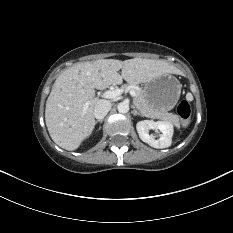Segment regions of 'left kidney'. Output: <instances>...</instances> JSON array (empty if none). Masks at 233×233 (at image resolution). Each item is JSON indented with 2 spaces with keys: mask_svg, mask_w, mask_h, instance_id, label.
<instances>
[{
  "mask_svg": "<svg viewBox=\"0 0 233 233\" xmlns=\"http://www.w3.org/2000/svg\"><path fill=\"white\" fill-rule=\"evenodd\" d=\"M136 129L140 139L151 147L163 149L171 145L174 130L173 125L169 122L143 120L137 123ZM150 130H159L162 133L159 139L149 135Z\"/></svg>",
  "mask_w": 233,
  "mask_h": 233,
  "instance_id": "5707ae66",
  "label": "left kidney"
}]
</instances>
